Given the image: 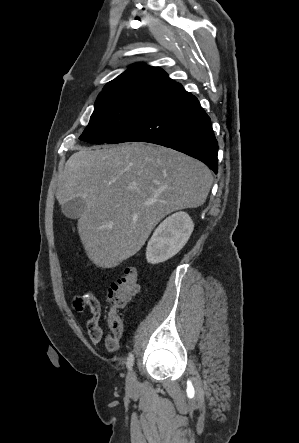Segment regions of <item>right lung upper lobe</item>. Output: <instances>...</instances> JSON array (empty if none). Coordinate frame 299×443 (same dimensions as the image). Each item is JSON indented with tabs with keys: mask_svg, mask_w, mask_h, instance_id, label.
<instances>
[{
	"mask_svg": "<svg viewBox=\"0 0 299 443\" xmlns=\"http://www.w3.org/2000/svg\"><path fill=\"white\" fill-rule=\"evenodd\" d=\"M176 84L167 73L145 63L133 64L128 70L110 81L101 93L123 88L157 87L168 89Z\"/></svg>",
	"mask_w": 299,
	"mask_h": 443,
	"instance_id": "right-lung-upper-lobe-1",
	"label": "right lung upper lobe"
}]
</instances>
